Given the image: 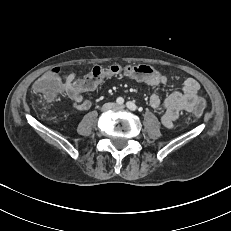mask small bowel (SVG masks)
<instances>
[{
    "instance_id": "1",
    "label": "small bowel",
    "mask_w": 231,
    "mask_h": 231,
    "mask_svg": "<svg viewBox=\"0 0 231 231\" xmlns=\"http://www.w3.org/2000/svg\"><path fill=\"white\" fill-rule=\"evenodd\" d=\"M59 79V78H58ZM75 73H68L59 79L60 91L63 92L72 102L77 110H88L93 102L84 99L82 90L75 86ZM171 83V78L167 74L150 76L140 82V87L144 91H150L155 88L167 87ZM200 89L199 83L193 79H186L179 90H175L164 98L158 94L150 97V105L156 110H162L161 123L165 128H172L175 121L183 112H193L198 100H202L198 95Z\"/></svg>"
}]
</instances>
